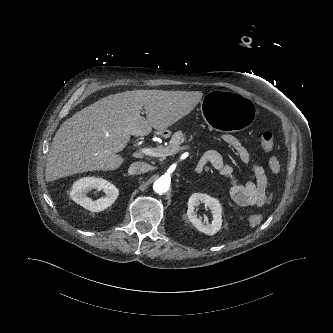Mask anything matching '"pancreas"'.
Segmentation results:
<instances>
[{"label":"pancreas","instance_id":"pancreas-1","mask_svg":"<svg viewBox=\"0 0 333 333\" xmlns=\"http://www.w3.org/2000/svg\"><path fill=\"white\" fill-rule=\"evenodd\" d=\"M185 140H186L185 133L177 131L172 135L169 145L166 147V149L176 153L180 150L179 145L183 143Z\"/></svg>","mask_w":333,"mask_h":333}]
</instances>
